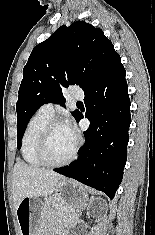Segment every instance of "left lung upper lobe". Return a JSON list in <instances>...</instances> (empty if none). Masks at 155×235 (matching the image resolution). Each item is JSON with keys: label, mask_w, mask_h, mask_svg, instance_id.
Masks as SVG:
<instances>
[{"label": "left lung upper lobe", "mask_w": 155, "mask_h": 235, "mask_svg": "<svg viewBox=\"0 0 155 235\" xmlns=\"http://www.w3.org/2000/svg\"><path fill=\"white\" fill-rule=\"evenodd\" d=\"M120 57L101 29L83 21L62 25L31 52L16 104L17 148L33 114L45 103L64 106L62 88H91ZM77 120L80 112H72Z\"/></svg>", "instance_id": "left-lung-upper-lobe-1"}]
</instances>
